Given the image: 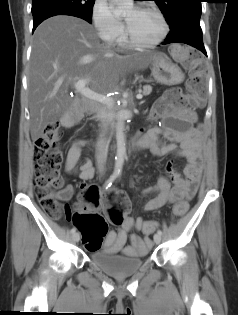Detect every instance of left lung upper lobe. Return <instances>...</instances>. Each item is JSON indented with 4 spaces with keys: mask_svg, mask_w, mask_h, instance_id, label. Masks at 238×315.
<instances>
[{
    "mask_svg": "<svg viewBox=\"0 0 238 315\" xmlns=\"http://www.w3.org/2000/svg\"><path fill=\"white\" fill-rule=\"evenodd\" d=\"M167 18L170 32L190 18H200L201 0H154Z\"/></svg>",
    "mask_w": 238,
    "mask_h": 315,
    "instance_id": "obj_1",
    "label": "left lung upper lobe"
}]
</instances>
